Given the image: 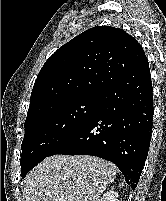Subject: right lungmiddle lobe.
<instances>
[{
  "mask_svg": "<svg viewBox=\"0 0 166 201\" xmlns=\"http://www.w3.org/2000/svg\"><path fill=\"white\" fill-rule=\"evenodd\" d=\"M99 98L81 96L26 118L20 160L22 178L89 118Z\"/></svg>",
  "mask_w": 166,
  "mask_h": 201,
  "instance_id": "obj_1",
  "label": "right lung middle lobe"
}]
</instances>
